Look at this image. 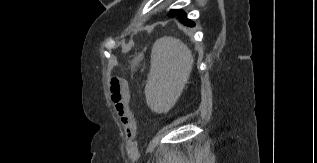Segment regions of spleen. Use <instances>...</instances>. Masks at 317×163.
<instances>
[{"label": "spleen", "instance_id": "obj_1", "mask_svg": "<svg viewBox=\"0 0 317 163\" xmlns=\"http://www.w3.org/2000/svg\"><path fill=\"white\" fill-rule=\"evenodd\" d=\"M193 64L191 50L181 40L167 36L156 40L145 86L147 103L153 111L166 113L175 105Z\"/></svg>", "mask_w": 317, "mask_h": 163}]
</instances>
